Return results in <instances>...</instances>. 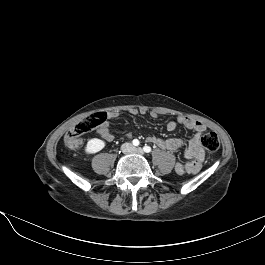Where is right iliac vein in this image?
I'll return each instance as SVG.
<instances>
[{
    "mask_svg": "<svg viewBox=\"0 0 265 265\" xmlns=\"http://www.w3.org/2000/svg\"><path fill=\"white\" fill-rule=\"evenodd\" d=\"M122 150L123 152L128 153L132 150V145L129 143H126L122 146Z\"/></svg>",
    "mask_w": 265,
    "mask_h": 265,
    "instance_id": "obj_1",
    "label": "right iliac vein"
}]
</instances>
